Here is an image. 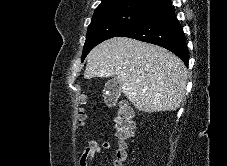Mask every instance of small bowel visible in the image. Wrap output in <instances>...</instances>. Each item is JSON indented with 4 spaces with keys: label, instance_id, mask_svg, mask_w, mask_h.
<instances>
[{
    "label": "small bowel",
    "instance_id": "obj_1",
    "mask_svg": "<svg viewBox=\"0 0 227 166\" xmlns=\"http://www.w3.org/2000/svg\"><path fill=\"white\" fill-rule=\"evenodd\" d=\"M111 148V143L109 141H104L98 143L94 140H88L84 146L79 165L88 166L90 162H93L97 155L101 154L103 151H108Z\"/></svg>",
    "mask_w": 227,
    "mask_h": 166
}]
</instances>
